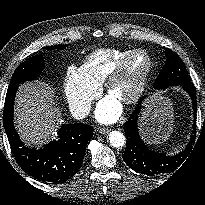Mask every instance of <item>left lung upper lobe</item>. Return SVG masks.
Instances as JSON below:
<instances>
[{"label":"left lung upper lobe","instance_id":"left-lung-upper-lobe-1","mask_svg":"<svg viewBox=\"0 0 205 205\" xmlns=\"http://www.w3.org/2000/svg\"><path fill=\"white\" fill-rule=\"evenodd\" d=\"M166 63L154 82L155 89L190 83L186 67L181 58L172 50L166 49Z\"/></svg>","mask_w":205,"mask_h":205}]
</instances>
